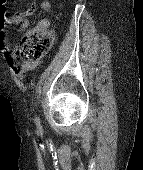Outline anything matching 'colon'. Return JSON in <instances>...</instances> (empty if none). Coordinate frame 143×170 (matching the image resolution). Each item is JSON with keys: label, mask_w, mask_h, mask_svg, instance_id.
<instances>
[{"label": "colon", "mask_w": 143, "mask_h": 170, "mask_svg": "<svg viewBox=\"0 0 143 170\" xmlns=\"http://www.w3.org/2000/svg\"><path fill=\"white\" fill-rule=\"evenodd\" d=\"M8 0H0V21H5L13 14L8 9ZM48 7L47 3L43 4ZM54 41L53 33L43 26L28 30L21 41L19 55L26 62L43 58L50 51Z\"/></svg>", "instance_id": "5ec220e1"}]
</instances>
